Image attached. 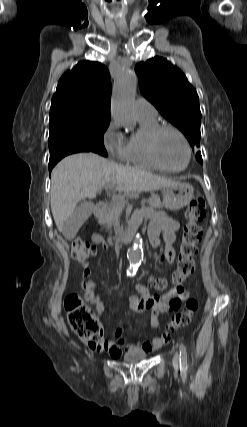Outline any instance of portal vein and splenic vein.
Returning <instances> with one entry per match:
<instances>
[{
  "mask_svg": "<svg viewBox=\"0 0 247 427\" xmlns=\"http://www.w3.org/2000/svg\"><path fill=\"white\" fill-rule=\"evenodd\" d=\"M113 200H115V201H123V197H121V196H113ZM147 201V199H142V203H145Z\"/></svg>",
  "mask_w": 247,
  "mask_h": 427,
  "instance_id": "18ae733b",
  "label": "portal vein and splenic vein"
}]
</instances>
